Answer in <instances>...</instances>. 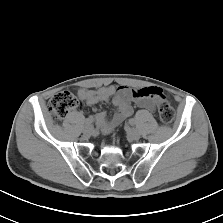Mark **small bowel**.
Returning a JSON list of instances; mask_svg holds the SVG:
<instances>
[{
  "label": "small bowel",
  "mask_w": 223,
  "mask_h": 223,
  "mask_svg": "<svg viewBox=\"0 0 223 223\" xmlns=\"http://www.w3.org/2000/svg\"><path fill=\"white\" fill-rule=\"evenodd\" d=\"M156 87L130 88L127 86L108 85L98 89L81 88L78 97L89 106L112 99V104L117 112L111 120H107L105 112H98L93 117L98 129L105 134L112 132L120 123L133 114L132 103L146 110L155 107V95L152 94ZM159 90V89H158ZM90 118V117H89Z\"/></svg>",
  "instance_id": "1"
}]
</instances>
